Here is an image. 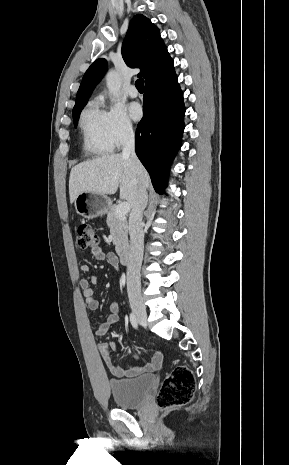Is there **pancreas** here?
I'll use <instances>...</instances> for the list:
<instances>
[{
    "mask_svg": "<svg viewBox=\"0 0 289 465\" xmlns=\"http://www.w3.org/2000/svg\"><path fill=\"white\" fill-rule=\"evenodd\" d=\"M117 205H112L107 213L106 223L110 228L113 244L117 253H121L128 245V223L126 217L116 216Z\"/></svg>",
    "mask_w": 289,
    "mask_h": 465,
    "instance_id": "obj_1",
    "label": "pancreas"
}]
</instances>
